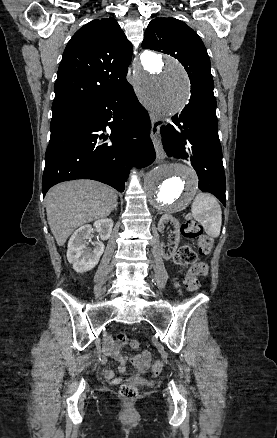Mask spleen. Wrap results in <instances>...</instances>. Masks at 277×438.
<instances>
[{
    "label": "spleen",
    "mask_w": 277,
    "mask_h": 438,
    "mask_svg": "<svg viewBox=\"0 0 277 438\" xmlns=\"http://www.w3.org/2000/svg\"><path fill=\"white\" fill-rule=\"evenodd\" d=\"M191 212L194 220L202 224L208 236H211V238L220 236L222 212L214 196L197 194Z\"/></svg>",
    "instance_id": "spleen-1"
}]
</instances>
